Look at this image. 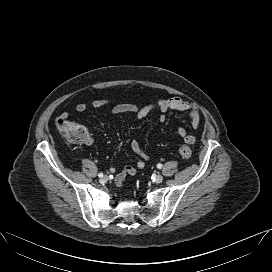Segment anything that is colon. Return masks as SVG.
Segmentation results:
<instances>
[{"label":"colon","instance_id":"colon-1","mask_svg":"<svg viewBox=\"0 0 272 272\" xmlns=\"http://www.w3.org/2000/svg\"><path fill=\"white\" fill-rule=\"evenodd\" d=\"M56 128L64 139L73 143H86L90 139V134L84 126L69 121L67 118L60 117L56 121ZM179 153L182 158L189 159L192 155L190 143L184 141L179 147Z\"/></svg>","mask_w":272,"mask_h":272}]
</instances>
